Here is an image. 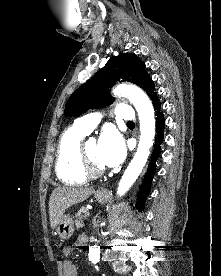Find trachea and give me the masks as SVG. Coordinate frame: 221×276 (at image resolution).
Masks as SVG:
<instances>
[{"label":"trachea","mask_w":221,"mask_h":276,"mask_svg":"<svg viewBox=\"0 0 221 276\" xmlns=\"http://www.w3.org/2000/svg\"><path fill=\"white\" fill-rule=\"evenodd\" d=\"M127 124L133 125V124H134V122L130 121V122H127Z\"/></svg>","instance_id":"trachea-1"}]
</instances>
